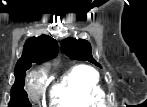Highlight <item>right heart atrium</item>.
<instances>
[{"label":"right heart atrium","mask_w":147,"mask_h":107,"mask_svg":"<svg viewBox=\"0 0 147 107\" xmlns=\"http://www.w3.org/2000/svg\"><path fill=\"white\" fill-rule=\"evenodd\" d=\"M43 75H35L32 79L30 92L33 98H36L38 95H40L43 91Z\"/></svg>","instance_id":"obj_1"}]
</instances>
